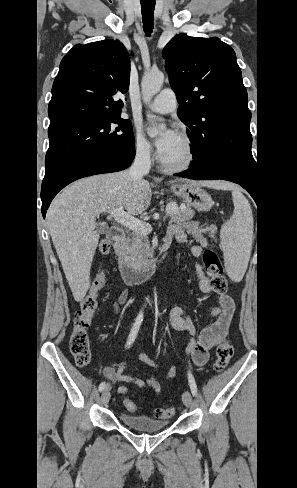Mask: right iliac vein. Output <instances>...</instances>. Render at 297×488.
Here are the masks:
<instances>
[{"label": "right iliac vein", "mask_w": 297, "mask_h": 488, "mask_svg": "<svg viewBox=\"0 0 297 488\" xmlns=\"http://www.w3.org/2000/svg\"><path fill=\"white\" fill-rule=\"evenodd\" d=\"M110 396V392L108 390H105L101 395V403L103 405H106L110 400Z\"/></svg>", "instance_id": "1"}]
</instances>
